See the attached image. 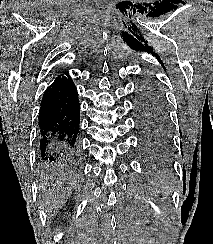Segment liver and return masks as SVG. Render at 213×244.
Instances as JSON below:
<instances>
[{"label":"liver","mask_w":213,"mask_h":244,"mask_svg":"<svg viewBox=\"0 0 213 244\" xmlns=\"http://www.w3.org/2000/svg\"><path fill=\"white\" fill-rule=\"evenodd\" d=\"M70 173L56 172L44 175L39 188V200L48 215H55L63 207L75 187Z\"/></svg>","instance_id":"6515ba94"}]
</instances>
